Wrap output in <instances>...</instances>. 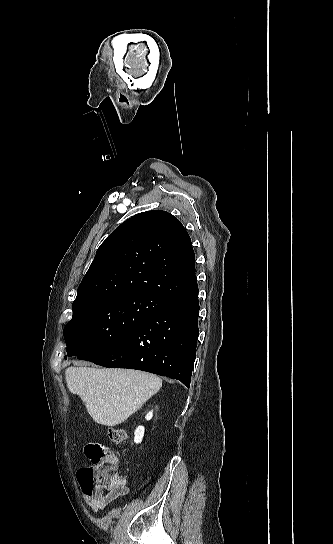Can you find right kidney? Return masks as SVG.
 <instances>
[{
    "instance_id": "1",
    "label": "right kidney",
    "mask_w": 333,
    "mask_h": 544,
    "mask_svg": "<svg viewBox=\"0 0 333 544\" xmlns=\"http://www.w3.org/2000/svg\"><path fill=\"white\" fill-rule=\"evenodd\" d=\"M153 417V412L152 411H149L145 418L146 420H150L151 418ZM144 427L143 426H138L134 432V442L136 444L138 443H141L142 439H143V436H144Z\"/></svg>"
}]
</instances>
